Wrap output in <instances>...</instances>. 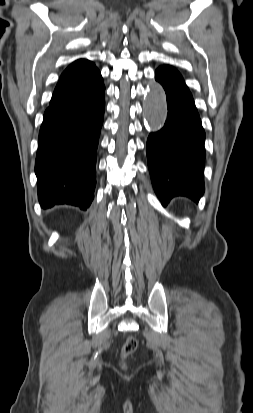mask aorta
<instances>
[{"mask_svg": "<svg viewBox=\"0 0 253 413\" xmlns=\"http://www.w3.org/2000/svg\"><path fill=\"white\" fill-rule=\"evenodd\" d=\"M144 119L151 131L160 130L167 117V101L163 87L157 83L149 85V92L143 102Z\"/></svg>", "mask_w": 253, "mask_h": 413, "instance_id": "762f6f07", "label": "aorta"}]
</instances>
